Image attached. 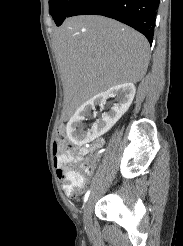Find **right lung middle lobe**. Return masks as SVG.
Instances as JSON below:
<instances>
[{
    "label": "right lung middle lobe",
    "mask_w": 183,
    "mask_h": 246,
    "mask_svg": "<svg viewBox=\"0 0 183 246\" xmlns=\"http://www.w3.org/2000/svg\"><path fill=\"white\" fill-rule=\"evenodd\" d=\"M79 0H49V12L57 26L61 25Z\"/></svg>",
    "instance_id": "obj_1"
}]
</instances>
